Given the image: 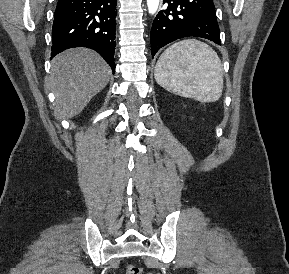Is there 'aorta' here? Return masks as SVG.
Instances as JSON below:
<instances>
[{
    "instance_id": "aorta-1",
    "label": "aorta",
    "mask_w": 289,
    "mask_h": 274,
    "mask_svg": "<svg viewBox=\"0 0 289 274\" xmlns=\"http://www.w3.org/2000/svg\"><path fill=\"white\" fill-rule=\"evenodd\" d=\"M160 0H147L148 11L150 14H154L159 6Z\"/></svg>"
}]
</instances>
